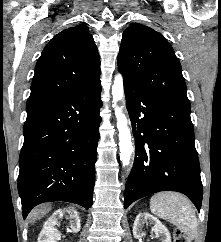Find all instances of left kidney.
Wrapping results in <instances>:
<instances>
[{
  "instance_id": "5707ae66",
  "label": "left kidney",
  "mask_w": 221,
  "mask_h": 242,
  "mask_svg": "<svg viewBox=\"0 0 221 242\" xmlns=\"http://www.w3.org/2000/svg\"><path fill=\"white\" fill-rule=\"evenodd\" d=\"M145 223L152 225V231L157 237L161 238L162 242H171L170 233L165 225H163L159 219L147 212H141L136 216L133 225V236L136 239H141L145 235L142 230Z\"/></svg>"
}]
</instances>
